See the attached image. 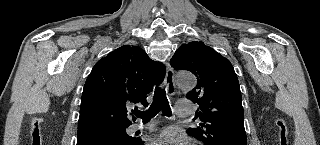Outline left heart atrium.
<instances>
[{
	"instance_id": "obj_1",
	"label": "left heart atrium",
	"mask_w": 320,
	"mask_h": 145,
	"mask_svg": "<svg viewBox=\"0 0 320 145\" xmlns=\"http://www.w3.org/2000/svg\"><path fill=\"white\" fill-rule=\"evenodd\" d=\"M152 145H188L187 138L176 129H165L150 139Z\"/></svg>"
}]
</instances>
